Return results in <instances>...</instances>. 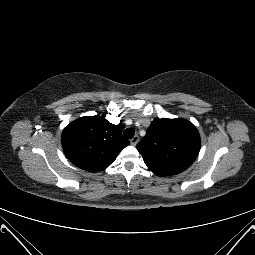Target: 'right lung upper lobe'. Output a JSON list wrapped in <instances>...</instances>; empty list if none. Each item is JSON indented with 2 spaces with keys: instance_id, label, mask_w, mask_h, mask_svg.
I'll list each match as a JSON object with an SVG mask.
<instances>
[{
  "instance_id": "obj_1",
  "label": "right lung upper lobe",
  "mask_w": 255,
  "mask_h": 255,
  "mask_svg": "<svg viewBox=\"0 0 255 255\" xmlns=\"http://www.w3.org/2000/svg\"><path fill=\"white\" fill-rule=\"evenodd\" d=\"M63 150L77 167L99 172L108 167L130 142L122 138V127L104 116L81 117L67 125L61 136Z\"/></svg>"
}]
</instances>
